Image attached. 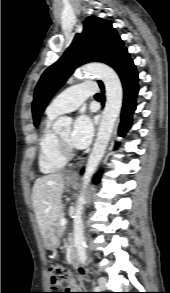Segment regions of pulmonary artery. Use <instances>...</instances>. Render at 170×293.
<instances>
[{
	"label": "pulmonary artery",
	"instance_id": "pulmonary-artery-1",
	"mask_svg": "<svg viewBox=\"0 0 170 293\" xmlns=\"http://www.w3.org/2000/svg\"><path fill=\"white\" fill-rule=\"evenodd\" d=\"M95 92L96 86L93 83H81L68 87L51 101L46 112L51 115H59L73 111Z\"/></svg>",
	"mask_w": 170,
	"mask_h": 293
}]
</instances>
